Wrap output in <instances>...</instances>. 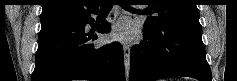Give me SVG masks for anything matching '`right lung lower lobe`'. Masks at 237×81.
<instances>
[{
	"instance_id": "obj_1",
	"label": "right lung lower lobe",
	"mask_w": 237,
	"mask_h": 81,
	"mask_svg": "<svg viewBox=\"0 0 237 81\" xmlns=\"http://www.w3.org/2000/svg\"><path fill=\"white\" fill-rule=\"evenodd\" d=\"M97 5V4H96ZM88 11L76 17L41 23L35 69L31 81H124L123 50L119 43L94 47L90 40L96 35L85 33L87 23L93 24ZM104 21L99 33H108Z\"/></svg>"
}]
</instances>
